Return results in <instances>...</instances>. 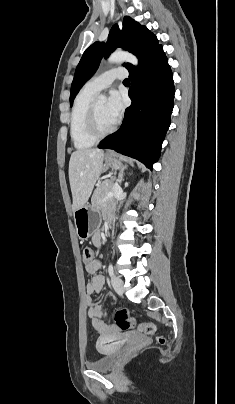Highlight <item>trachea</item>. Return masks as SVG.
<instances>
[{
  "instance_id": "1",
  "label": "trachea",
  "mask_w": 235,
  "mask_h": 404,
  "mask_svg": "<svg viewBox=\"0 0 235 404\" xmlns=\"http://www.w3.org/2000/svg\"><path fill=\"white\" fill-rule=\"evenodd\" d=\"M123 82H124V83H130V80H129V79H125Z\"/></svg>"
}]
</instances>
